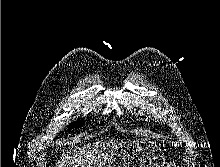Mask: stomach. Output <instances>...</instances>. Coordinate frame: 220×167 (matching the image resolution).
Returning a JSON list of instances; mask_svg holds the SVG:
<instances>
[{"label": "stomach", "instance_id": "0dacf381", "mask_svg": "<svg viewBox=\"0 0 220 167\" xmlns=\"http://www.w3.org/2000/svg\"><path fill=\"white\" fill-rule=\"evenodd\" d=\"M162 149L153 142H128L116 150L109 167H166Z\"/></svg>", "mask_w": 220, "mask_h": 167}]
</instances>
